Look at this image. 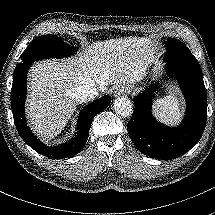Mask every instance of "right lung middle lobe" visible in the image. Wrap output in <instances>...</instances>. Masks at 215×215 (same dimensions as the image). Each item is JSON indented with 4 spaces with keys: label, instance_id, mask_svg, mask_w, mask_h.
I'll list each match as a JSON object with an SVG mask.
<instances>
[{
    "label": "right lung middle lobe",
    "instance_id": "right-lung-middle-lobe-1",
    "mask_svg": "<svg viewBox=\"0 0 215 215\" xmlns=\"http://www.w3.org/2000/svg\"><path fill=\"white\" fill-rule=\"evenodd\" d=\"M74 47L54 35H43L29 44L21 55V63H32L41 59L62 58L71 56ZM18 64V65H19Z\"/></svg>",
    "mask_w": 215,
    "mask_h": 215
}]
</instances>
